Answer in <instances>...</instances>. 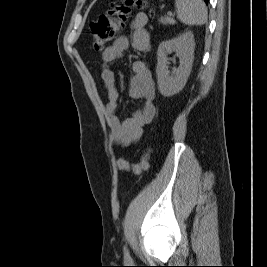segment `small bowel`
Masks as SVG:
<instances>
[{
    "mask_svg": "<svg viewBox=\"0 0 267 267\" xmlns=\"http://www.w3.org/2000/svg\"><path fill=\"white\" fill-rule=\"evenodd\" d=\"M147 22L148 17L145 13H136L130 24L131 38L128 39L124 36L117 38L102 53L101 79L108 97V101L104 105V113L111 130L112 140L121 147H128L138 141L143 134L144 127L152 122L156 113L154 104L156 89L152 73L146 63L140 60L134 61L129 93L131 97L142 99L143 102L141 109L122 121L117 114L119 93L115 74L110 65L122 58L130 45L138 51L149 50L150 38L145 28Z\"/></svg>",
    "mask_w": 267,
    "mask_h": 267,
    "instance_id": "c3829d8e",
    "label": "small bowel"
}]
</instances>
